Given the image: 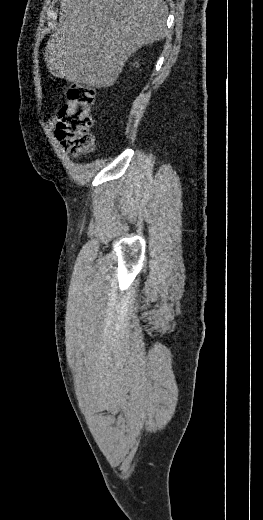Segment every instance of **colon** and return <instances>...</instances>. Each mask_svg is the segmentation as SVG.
Segmentation results:
<instances>
[{
  "mask_svg": "<svg viewBox=\"0 0 263 520\" xmlns=\"http://www.w3.org/2000/svg\"><path fill=\"white\" fill-rule=\"evenodd\" d=\"M94 100L95 90L91 86L72 85L67 91V102L60 111L55 135L73 157L88 154L94 148L90 133Z\"/></svg>",
  "mask_w": 263,
  "mask_h": 520,
  "instance_id": "colon-1",
  "label": "colon"
}]
</instances>
